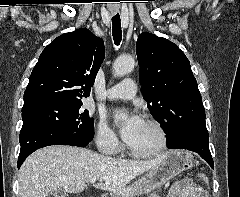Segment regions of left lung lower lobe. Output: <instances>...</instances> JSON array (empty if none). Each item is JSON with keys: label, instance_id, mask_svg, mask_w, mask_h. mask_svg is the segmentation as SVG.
<instances>
[{"label": "left lung lower lobe", "instance_id": "left-lung-lower-lobe-1", "mask_svg": "<svg viewBox=\"0 0 240 197\" xmlns=\"http://www.w3.org/2000/svg\"><path fill=\"white\" fill-rule=\"evenodd\" d=\"M205 117L203 103H193L186 111L168 119L166 139L169 148L194 151L213 168Z\"/></svg>", "mask_w": 240, "mask_h": 197}]
</instances>
